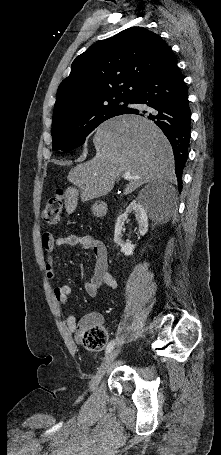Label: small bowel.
I'll use <instances>...</instances> for the list:
<instances>
[{"label": "small bowel", "mask_w": 221, "mask_h": 455, "mask_svg": "<svg viewBox=\"0 0 221 455\" xmlns=\"http://www.w3.org/2000/svg\"><path fill=\"white\" fill-rule=\"evenodd\" d=\"M80 246L82 249L91 250L95 256V268L92 276L85 281L84 288L88 295H97L101 285L106 284L112 289L118 288V282L111 275L108 269V252L104 243L95 237L83 235H67L55 237L52 233L46 232L42 236V246L46 251L45 272L48 278H53L56 273L55 266V249L59 246ZM83 276V271H81ZM55 299L62 311L68 307V299L71 294L69 285H60L54 287ZM66 324L70 332L74 333L76 340L79 341L83 329L92 322H100L102 319L97 315H88L79 321L72 314L66 315Z\"/></svg>", "instance_id": "c3829d8e"}]
</instances>
